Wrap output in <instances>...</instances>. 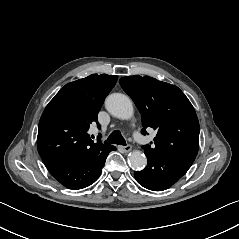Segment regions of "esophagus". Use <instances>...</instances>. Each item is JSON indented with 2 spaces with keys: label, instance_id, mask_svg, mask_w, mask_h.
<instances>
[{
  "label": "esophagus",
  "instance_id": "esophagus-1",
  "mask_svg": "<svg viewBox=\"0 0 239 239\" xmlns=\"http://www.w3.org/2000/svg\"><path fill=\"white\" fill-rule=\"evenodd\" d=\"M122 148H123L124 152H130L132 150V146L129 145V144L124 146V147H122Z\"/></svg>",
  "mask_w": 239,
  "mask_h": 239
}]
</instances>
